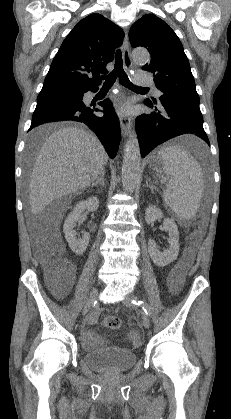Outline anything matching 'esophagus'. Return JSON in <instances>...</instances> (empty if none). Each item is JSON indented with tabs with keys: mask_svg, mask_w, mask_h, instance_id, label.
I'll use <instances>...</instances> for the list:
<instances>
[{
	"mask_svg": "<svg viewBox=\"0 0 231 419\" xmlns=\"http://www.w3.org/2000/svg\"><path fill=\"white\" fill-rule=\"evenodd\" d=\"M123 60H124V66L127 70L132 68V60L130 55V47H129V41H128V35L125 31V37L123 41ZM119 121L121 126V131L124 137L128 135L129 128L131 125V118L127 116L126 114L119 113Z\"/></svg>",
	"mask_w": 231,
	"mask_h": 419,
	"instance_id": "esophagus-1",
	"label": "esophagus"
}]
</instances>
